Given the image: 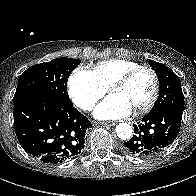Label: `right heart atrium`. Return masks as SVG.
I'll return each instance as SVG.
<instances>
[{"mask_svg":"<svg viewBox=\"0 0 196 196\" xmlns=\"http://www.w3.org/2000/svg\"><path fill=\"white\" fill-rule=\"evenodd\" d=\"M68 88L73 103L84 111H90L107 91L92 71L83 67H78L71 73Z\"/></svg>","mask_w":196,"mask_h":196,"instance_id":"right-heart-atrium-1","label":"right heart atrium"}]
</instances>
